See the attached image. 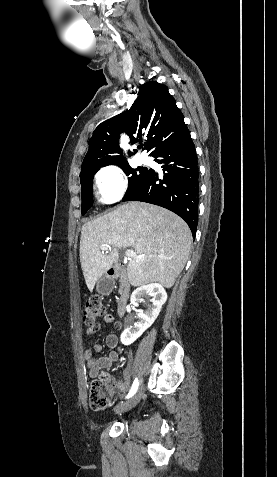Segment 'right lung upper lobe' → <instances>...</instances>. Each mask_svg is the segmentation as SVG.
<instances>
[{
    "mask_svg": "<svg viewBox=\"0 0 277 477\" xmlns=\"http://www.w3.org/2000/svg\"><path fill=\"white\" fill-rule=\"evenodd\" d=\"M187 128L184 116L168 88L158 82L143 84L129 111L100 123L89 140V150L82 169L127 163L119 147V137L126 132L130 142L146 136V149L151 156L161 147L176 140ZM136 152V150H134ZM132 155L131 152H129Z\"/></svg>",
    "mask_w": 277,
    "mask_h": 477,
    "instance_id": "obj_1",
    "label": "right lung upper lobe"
}]
</instances>
